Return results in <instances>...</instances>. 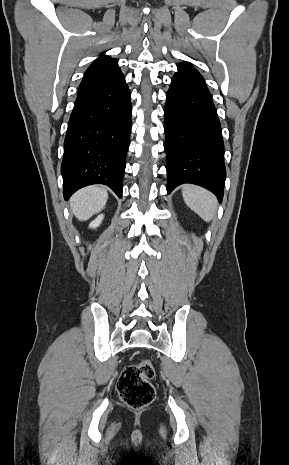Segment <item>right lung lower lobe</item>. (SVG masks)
I'll return each instance as SVG.
<instances>
[{
    "label": "right lung lower lobe",
    "mask_w": 289,
    "mask_h": 465,
    "mask_svg": "<svg viewBox=\"0 0 289 465\" xmlns=\"http://www.w3.org/2000/svg\"><path fill=\"white\" fill-rule=\"evenodd\" d=\"M131 113L130 91L123 76L109 86L79 92L61 165L65 200L91 184H105L121 198Z\"/></svg>",
    "instance_id": "98d812e1"
}]
</instances>
